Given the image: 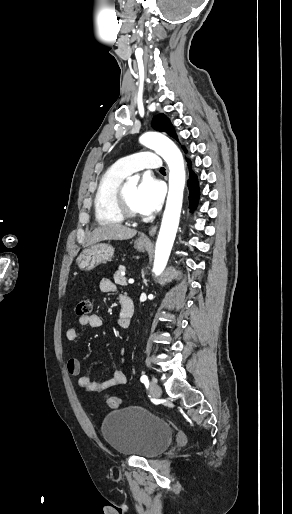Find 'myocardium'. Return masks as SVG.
<instances>
[{
	"mask_svg": "<svg viewBox=\"0 0 292 514\" xmlns=\"http://www.w3.org/2000/svg\"><path fill=\"white\" fill-rule=\"evenodd\" d=\"M112 205L114 210L123 218V220L137 221L143 216L142 213H137L129 208L124 198L123 184L119 185L114 191L112 196Z\"/></svg>",
	"mask_w": 292,
	"mask_h": 514,
	"instance_id": "myocardium-1",
	"label": "myocardium"
}]
</instances>
